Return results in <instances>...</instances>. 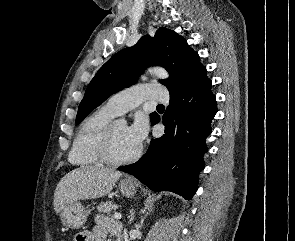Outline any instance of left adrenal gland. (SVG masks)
I'll return each mask as SVG.
<instances>
[{"instance_id": "1", "label": "left adrenal gland", "mask_w": 295, "mask_h": 241, "mask_svg": "<svg viewBox=\"0 0 295 241\" xmlns=\"http://www.w3.org/2000/svg\"><path fill=\"white\" fill-rule=\"evenodd\" d=\"M134 218H135V211L132 209V210H130L129 224H131L133 222Z\"/></svg>"}]
</instances>
